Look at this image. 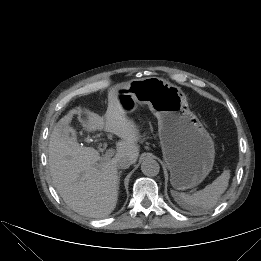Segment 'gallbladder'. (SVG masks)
Returning a JSON list of instances; mask_svg holds the SVG:
<instances>
[{"mask_svg": "<svg viewBox=\"0 0 261 261\" xmlns=\"http://www.w3.org/2000/svg\"><path fill=\"white\" fill-rule=\"evenodd\" d=\"M66 130H67V133H68V134L71 133V135H72L73 137H75V131H74L71 127H68Z\"/></svg>", "mask_w": 261, "mask_h": 261, "instance_id": "gallbladder-1", "label": "gallbladder"}]
</instances>
